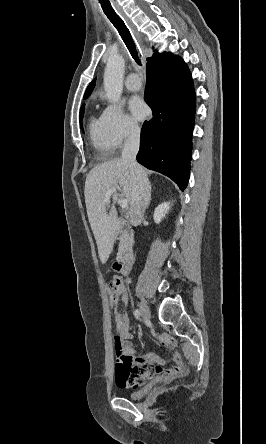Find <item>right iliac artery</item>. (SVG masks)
<instances>
[{
  "mask_svg": "<svg viewBox=\"0 0 266 444\" xmlns=\"http://www.w3.org/2000/svg\"><path fill=\"white\" fill-rule=\"evenodd\" d=\"M134 316H135L136 319H139V318H140V311H139L138 309H136V310L134 311Z\"/></svg>",
  "mask_w": 266,
  "mask_h": 444,
  "instance_id": "obj_1",
  "label": "right iliac artery"
}]
</instances>
